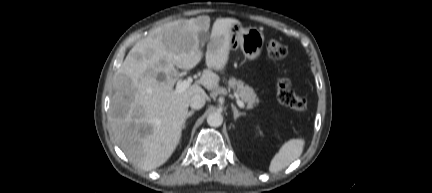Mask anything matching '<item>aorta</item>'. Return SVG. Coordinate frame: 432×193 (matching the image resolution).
Segmentation results:
<instances>
[{"label": "aorta", "instance_id": "762f6f07", "mask_svg": "<svg viewBox=\"0 0 432 193\" xmlns=\"http://www.w3.org/2000/svg\"><path fill=\"white\" fill-rule=\"evenodd\" d=\"M207 123L211 127H219L223 123V116L218 112H212L207 116Z\"/></svg>", "mask_w": 432, "mask_h": 193}]
</instances>
